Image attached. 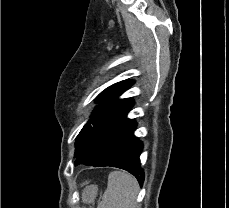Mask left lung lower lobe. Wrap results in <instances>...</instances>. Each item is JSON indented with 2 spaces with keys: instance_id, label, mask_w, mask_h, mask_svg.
Here are the masks:
<instances>
[{
  "instance_id": "0a47b994",
  "label": "left lung lower lobe",
  "mask_w": 229,
  "mask_h": 208,
  "mask_svg": "<svg viewBox=\"0 0 229 208\" xmlns=\"http://www.w3.org/2000/svg\"><path fill=\"white\" fill-rule=\"evenodd\" d=\"M136 124L129 130L108 129L97 132L89 139L76 145L75 164L111 166L124 169L134 175L142 187L144 171L140 164L143 144L133 132Z\"/></svg>"
}]
</instances>
